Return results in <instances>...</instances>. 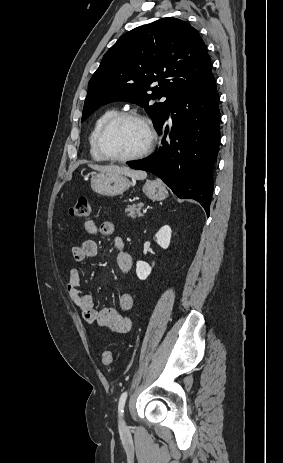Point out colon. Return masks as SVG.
Instances as JSON below:
<instances>
[{"label":"colon","instance_id":"5ec220e1","mask_svg":"<svg viewBox=\"0 0 283 463\" xmlns=\"http://www.w3.org/2000/svg\"><path fill=\"white\" fill-rule=\"evenodd\" d=\"M91 204L86 198H79L77 202L70 208L71 217L77 219H87L91 215ZM114 355L111 350H106L102 354V363L106 367H110L113 363Z\"/></svg>","mask_w":283,"mask_h":463}]
</instances>
